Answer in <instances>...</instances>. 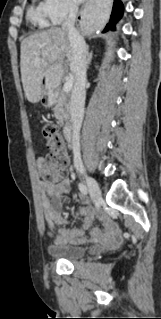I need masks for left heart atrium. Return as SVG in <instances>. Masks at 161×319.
I'll return each instance as SVG.
<instances>
[{"mask_svg":"<svg viewBox=\"0 0 161 319\" xmlns=\"http://www.w3.org/2000/svg\"><path fill=\"white\" fill-rule=\"evenodd\" d=\"M75 2H77V3H80V2H82L83 0H74Z\"/></svg>","mask_w":161,"mask_h":319,"instance_id":"left-heart-atrium-1","label":"left heart atrium"}]
</instances>
